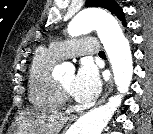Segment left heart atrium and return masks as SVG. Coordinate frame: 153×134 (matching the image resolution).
<instances>
[{"mask_svg":"<svg viewBox=\"0 0 153 134\" xmlns=\"http://www.w3.org/2000/svg\"><path fill=\"white\" fill-rule=\"evenodd\" d=\"M101 90V80L96 69L87 63L81 65L74 76L71 94L80 102H91Z\"/></svg>","mask_w":153,"mask_h":134,"instance_id":"1","label":"left heart atrium"}]
</instances>
